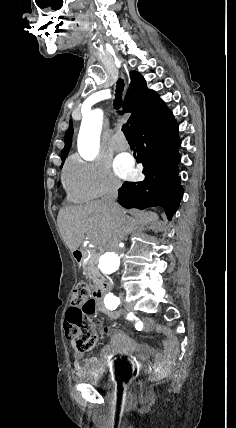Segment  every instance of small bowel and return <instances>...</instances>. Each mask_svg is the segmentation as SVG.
Masks as SVG:
<instances>
[{"mask_svg": "<svg viewBox=\"0 0 236 428\" xmlns=\"http://www.w3.org/2000/svg\"><path fill=\"white\" fill-rule=\"evenodd\" d=\"M97 307L111 319H117L124 315L126 316L124 313L106 309L103 303H97ZM128 319L134 323L138 330L149 332L155 329L161 334L164 337V351L158 352L146 344L136 342L126 332L120 329L107 327L103 329V333L110 337V342L102 348L103 358L105 360H112L119 355H129L132 363L138 367L151 358L153 360L151 366L157 371H163L178 352V344L171 331L167 327L156 324L150 319L140 320L135 316L128 317ZM98 326L99 324H95V327ZM94 363H96V360H84L81 354H76L74 368L77 370L82 366H89Z\"/></svg>", "mask_w": 236, "mask_h": 428, "instance_id": "1", "label": "small bowel"}]
</instances>
